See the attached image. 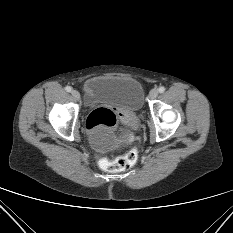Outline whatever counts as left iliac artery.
Instances as JSON below:
<instances>
[{
  "label": "left iliac artery",
  "instance_id": "1",
  "mask_svg": "<svg viewBox=\"0 0 233 233\" xmlns=\"http://www.w3.org/2000/svg\"><path fill=\"white\" fill-rule=\"evenodd\" d=\"M159 93H163L165 91V87L161 86L159 89H158Z\"/></svg>",
  "mask_w": 233,
  "mask_h": 233
}]
</instances>
